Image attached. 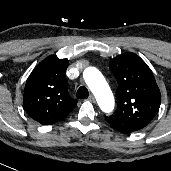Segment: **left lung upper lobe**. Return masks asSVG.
Listing matches in <instances>:
<instances>
[{
    "mask_svg": "<svg viewBox=\"0 0 171 171\" xmlns=\"http://www.w3.org/2000/svg\"><path fill=\"white\" fill-rule=\"evenodd\" d=\"M118 82L117 109L106 121L115 129L144 128L157 115L161 94L148 65L136 54L126 53L110 60Z\"/></svg>",
    "mask_w": 171,
    "mask_h": 171,
    "instance_id": "1",
    "label": "left lung upper lobe"
}]
</instances>
